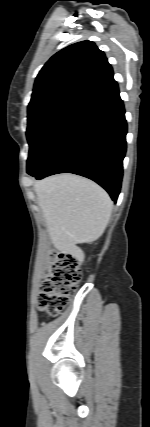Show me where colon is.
<instances>
[{
  "label": "colon",
  "mask_w": 150,
  "mask_h": 427,
  "mask_svg": "<svg viewBox=\"0 0 150 427\" xmlns=\"http://www.w3.org/2000/svg\"><path fill=\"white\" fill-rule=\"evenodd\" d=\"M81 276L79 261L74 255L63 252L54 254L42 283L39 309L50 316L58 315L68 305Z\"/></svg>",
  "instance_id": "colon-1"
}]
</instances>
